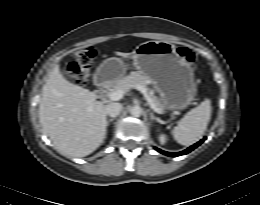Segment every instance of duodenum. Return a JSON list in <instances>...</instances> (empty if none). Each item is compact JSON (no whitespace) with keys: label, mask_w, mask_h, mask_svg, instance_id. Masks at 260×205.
<instances>
[{"label":"duodenum","mask_w":260,"mask_h":205,"mask_svg":"<svg viewBox=\"0 0 260 205\" xmlns=\"http://www.w3.org/2000/svg\"><path fill=\"white\" fill-rule=\"evenodd\" d=\"M96 83V95L99 98H103L109 89V84L105 80L101 79L99 74L96 75Z\"/></svg>","instance_id":"obj_1"}]
</instances>
